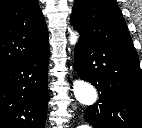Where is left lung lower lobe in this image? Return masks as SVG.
I'll return each mask as SVG.
<instances>
[{
  "label": "left lung lower lobe",
  "mask_w": 142,
  "mask_h": 128,
  "mask_svg": "<svg viewBox=\"0 0 142 128\" xmlns=\"http://www.w3.org/2000/svg\"><path fill=\"white\" fill-rule=\"evenodd\" d=\"M79 77L100 97L84 118L93 128H142V72L138 58L81 35L75 47Z\"/></svg>",
  "instance_id": "0a47b994"
}]
</instances>
